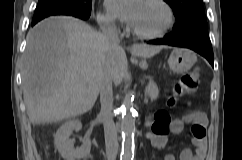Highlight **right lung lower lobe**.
<instances>
[{
  "label": "right lung lower lobe",
  "instance_id": "98d812e1",
  "mask_svg": "<svg viewBox=\"0 0 242 160\" xmlns=\"http://www.w3.org/2000/svg\"><path fill=\"white\" fill-rule=\"evenodd\" d=\"M89 18V17H88ZM82 19V18H81ZM87 18L83 19V20H86ZM40 21V20H38ZM38 21H32V26L35 25Z\"/></svg>",
  "mask_w": 242,
  "mask_h": 160
}]
</instances>
